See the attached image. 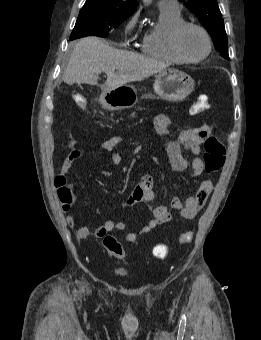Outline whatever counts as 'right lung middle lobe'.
<instances>
[{"instance_id":"obj_1","label":"right lung middle lobe","mask_w":261,"mask_h":340,"mask_svg":"<svg viewBox=\"0 0 261 340\" xmlns=\"http://www.w3.org/2000/svg\"><path fill=\"white\" fill-rule=\"evenodd\" d=\"M127 17L108 9L83 6L70 40L90 35L107 37L111 29L117 28Z\"/></svg>"}]
</instances>
